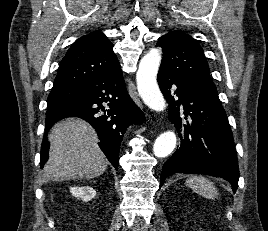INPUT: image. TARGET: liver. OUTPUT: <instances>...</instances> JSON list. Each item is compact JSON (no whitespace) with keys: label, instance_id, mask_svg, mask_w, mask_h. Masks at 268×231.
<instances>
[{"label":"liver","instance_id":"liver-1","mask_svg":"<svg viewBox=\"0 0 268 231\" xmlns=\"http://www.w3.org/2000/svg\"><path fill=\"white\" fill-rule=\"evenodd\" d=\"M48 140L50 156L44 166L48 180L92 179L106 171L108 160L97 145L98 137L83 120L68 118L56 123Z\"/></svg>","mask_w":268,"mask_h":231}]
</instances>
